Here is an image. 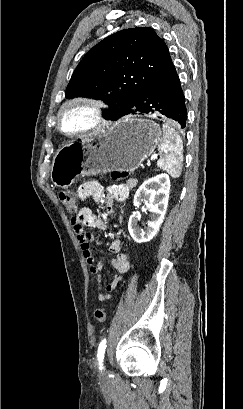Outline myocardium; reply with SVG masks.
Wrapping results in <instances>:
<instances>
[{"instance_id":"f54148a6","label":"myocardium","mask_w":243,"mask_h":409,"mask_svg":"<svg viewBox=\"0 0 243 409\" xmlns=\"http://www.w3.org/2000/svg\"><path fill=\"white\" fill-rule=\"evenodd\" d=\"M73 105H84L91 111V114L94 119V124L90 128H87L79 132H74V133H68L63 129L62 116L65 113V111ZM56 126H57V130L67 138H78V137L87 136L90 134L101 132L104 129H106L108 126V120L106 119L105 111H104V104L103 102H101L100 100L94 97L85 96V95L74 96L68 99L67 101H65L61 105L57 113Z\"/></svg>"}]
</instances>
